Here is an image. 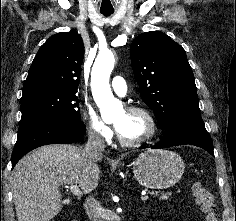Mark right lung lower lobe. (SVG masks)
<instances>
[{"label":"right lung lower lobe","instance_id":"1","mask_svg":"<svg viewBox=\"0 0 236 221\" xmlns=\"http://www.w3.org/2000/svg\"><path fill=\"white\" fill-rule=\"evenodd\" d=\"M86 132L83 123L54 117H36L21 121L17 142L15 144L11 161L12 168L29 151L48 144H70L81 139Z\"/></svg>","mask_w":236,"mask_h":221}]
</instances>
